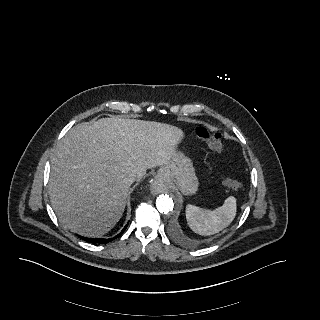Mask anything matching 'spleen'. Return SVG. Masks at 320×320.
I'll list each match as a JSON object with an SVG mask.
<instances>
[{
	"mask_svg": "<svg viewBox=\"0 0 320 320\" xmlns=\"http://www.w3.org/2000/svg\"><path fill=\"white\" fill-rule=\"evenodd\" d=\"M236 210V199L230 196L215 210L187 205L186 219L194 232L207 236L226 228L235 218Z\"/></svg>",
	"mask_w": 320,
	"mask_h": 320,
	"instance_id": "3e777b00",
	"label": "spleen"
}]
</instances>
